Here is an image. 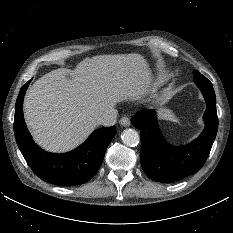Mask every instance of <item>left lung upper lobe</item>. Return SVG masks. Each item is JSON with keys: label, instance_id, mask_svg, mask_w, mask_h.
<instances>
[{"label": "left lung upper lobe", "instance_id": "5c2ea615", "mask_svg": "<svg viewBox=\"0 0 233 233\" xmlns=\"http://www.w3.org/2000/svg\"><path fill=\"white\" fill-rule=\"evenodd\" d=\"M193 81L195 83H200V82H207L209 80L206 77H204L201 73H199L198 71H194Z\"/></svg>", "mask_w": 233, "mask_h": 233}]
</instances>
